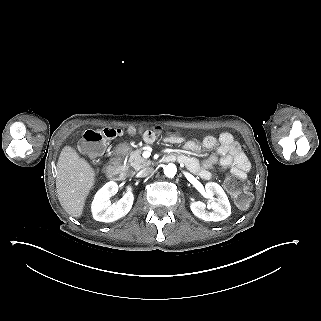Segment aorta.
Masks as SVG:
<instances>
[{"label":"aorta","instance_id":"aorta-1","mask_svg":"<svg viewBox=\"0 0 321 321\" xmlns=\"http://www.w3.org/2000/svg\"><path fill=\"white\" fill-rule=\"evenodd\" d=\"M176 172H177V168L175 164L169 163L164 167V174L169 178H173Z\"/></svg>","mask_w":321,"mask_h":321}]
</instances>
